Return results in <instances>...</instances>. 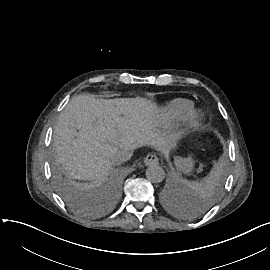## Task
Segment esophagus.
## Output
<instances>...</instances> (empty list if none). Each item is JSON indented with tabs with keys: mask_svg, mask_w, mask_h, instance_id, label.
Here are the masks:
<instances>
[{
	"mask_svg": "<svg viewBox=\"0 0 270 270\" xmlns=\"http://www.w3.org/2000/svg\"><path fill=\"white\" fill-rule=\"evenodd\" d=\"M144 163L147 166L150 165H157L159 164V158L157 157V155L155 154H148L145 158H144Z\"/></svg>",
	"mask_w": 270,
	"mask_h": 270,
	"instance_id": "1",
	"label": "esophagus"
}]
</instances>
